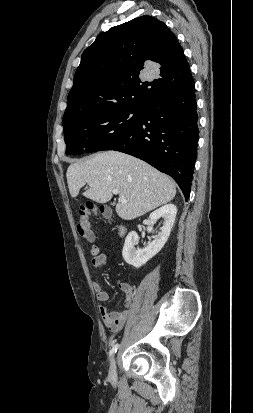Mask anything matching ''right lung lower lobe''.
<instances>
[{
    "label": "right lung lower lobe",
    "mask_w": 253,
    "mask_h": 413,
    "mask_svg": "<svg viewBox=\"0 0 253 413\" xmlns=\"http://www.w3.org/2000/svg\"><path fill=\"white\" fill-rule=\"evenodd\" d=\"M139 123L115 150L140 158L170 175L188 200L198 146V114L193 78L182 89L144 104Z\"/></svg>",
    "instance_id": "98d812e1"
}]
</instances>
